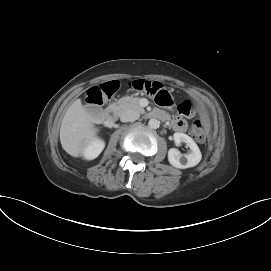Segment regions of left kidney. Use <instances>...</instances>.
Wrapping results in <instances>:
<instances>
[{
	"label": "left kidney",
	"mask_w": 271,
	"mask_h": 271,
	"mask_svg": "<svg viewBox=\"0 0 271 271\" xmlns=\"http://www.w3.org/2000/svg\"><path fill=\"white\" fill-rule=\"evenodd\" d=\"M173 137L176 145H179L181 142L186 143V145L190 148L191 153L182 156L178 149L171 148L168 151L169 163L173 167L179 169L196 166L202 159V155L197 144L193 141L191 137L184 133L176 132L174 133Z\"/></svg>",
	"instance_id": "1"
}]
</instances>
